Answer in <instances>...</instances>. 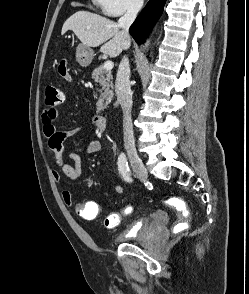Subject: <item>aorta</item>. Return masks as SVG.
I'll return each mask as SVG.
<instances>
[{
	"label": "aorta",
	"mask_w": 249,
	"mask_h": 294,
	"mask_svg": "<svg viewBox=\"0 0 249 294\" xmlns=\"http://www.w3.org/2000/svg\"><path fill=\"white\" fill-rule=\"evenodd\" d=\"M145 46H146V47H148V46H149V41H147V42H146Z\"/></svg>",
	"instance_id": "1"
}]
</instances>
